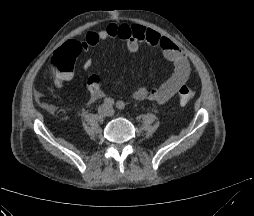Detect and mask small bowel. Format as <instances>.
<instances>
[{"instance_id":"1","label":"small bowel","mask_w":254,"mask_h":216,"mask_svg":"<svg viewBox=\"0 0 254 216\" xmlns=\"http://www.w3.org/2000/svg\"><path fill=\"white\" fill-rule=\"evenodd\" d=\"M109 38L124 40L128 51L131 53L137 52L141 43H147L161 49L164 57L174 64L173 74L158 87L152 89L141 87L133 90L132 96L135 99H148L162 105L169 101L178 92L180 87L187 82L191 68L185 54L169 38L138 24H109L102 30L87 32L82 42L75 40L66 41L62 46V50L71 53L73 51V44L77 42L81 44L83 50H86L95 46L98 42ZM56 54L57 52L51 58ZM91 64V59L85 60L83 64L84 69L88 70ZM73 76V71L59 74L54 77L53 83L56 87H62ZM88 87L92 101L103 98L106 95L105 90L101 86L100 79L96 75L89 77Z\"/></svg>"}]
</instances>
